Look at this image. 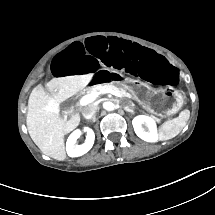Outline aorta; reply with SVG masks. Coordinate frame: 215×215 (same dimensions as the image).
Here are the masks:
<instances>
[{
    "mask_svg": "<svg viewBox=\"0 0 215 215\" xmlns=\"http://www.w3.org/2000/svg\"><path fill=\"white\" fill-rule=\"evenodd\" d=\"M106 110H112L113 109V103L112 102H105V107Z\"/></svg>",
    "mask_w": 215,
    "mask_h": 215,
    "instance_id": "762f6f07",
    "label": "aorta"
}]
</instances>
